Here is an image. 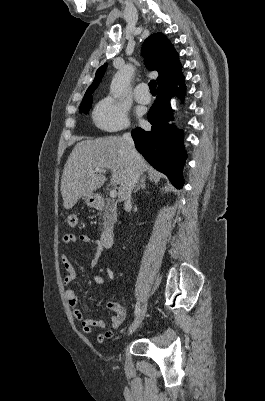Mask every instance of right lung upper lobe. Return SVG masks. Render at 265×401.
<instances>
[{
	"label": "right lung upper lobe",
	"instance_id": "cb5924a9",
	"mask_svg": "<svg viewBox=\"0 0 265 401\" xmlns=\"http://www.w3.org/2000/svg\"><path fill=\"white\" fill-rule=\"evenodd\" d=\"M142 51L146 59L147 68L159 72L157 77L158 90L175 87L184 80L181 73V65L178 61V54L165 35L157 33L149 36L143 44ZM106 67L107 64H104L97 70L95 79L87 89L83 101L92 98V93L102 80Z\"/></svg>",
	"mask_w": 265,
	"mask_h": 401
}]
</instances>
